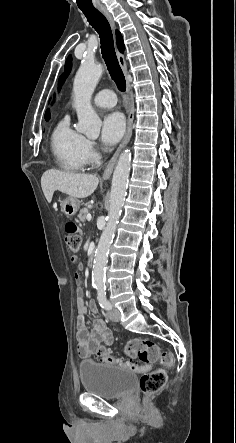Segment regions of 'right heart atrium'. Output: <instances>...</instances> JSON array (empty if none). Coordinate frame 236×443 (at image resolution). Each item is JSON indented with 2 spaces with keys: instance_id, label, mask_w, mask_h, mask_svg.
<instances>
[{
  "instance_id": "obj_1",
  "label": "right heart atrium",
  "mask_w": 236,
  "mask_h": 443,
  "mask_svg": "<svg viewBox=\"0 0 236 443\" xmlns=\"http://www.w3.org/2000/svg\"><path fill=\"white\" fill-rule=\"evenodd\" d=\"M83 152L86 162L87 163L93 162L96 157L95 143L91 140L86 139L84 143Z\"/></svg>"
}]
</instances>
